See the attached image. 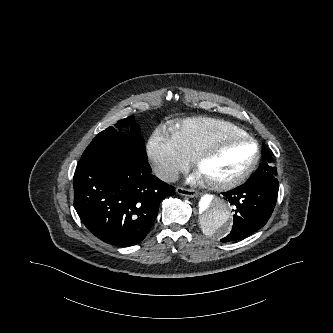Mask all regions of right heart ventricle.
<instances>
[{
	"label": "right heart ventricle",
	"instance_id": "right-heart-ventricle-1",
	"mask_svg": "<svg viewBox=\"0 0 333 333\" xmlns=\"http://www.w3.org/2000/svg\"><path fill=\"white\" fill-rule=\"evenodd\" d=\"M226 133L247 134L232 123L210 117L188 118L171 128L173 139L190 160L204 144Z\"/></svg>",
	"mask_w": 333,
	"mask_h": 333
}]
</instances>
